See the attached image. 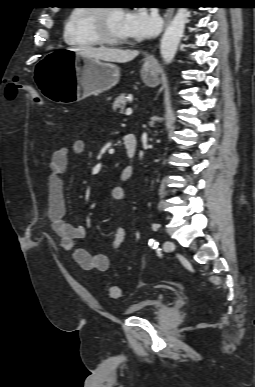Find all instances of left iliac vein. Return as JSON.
Masks as SVG:
<instances>
[{
    "mask_svg": "<svg viewBox=\"0 0 255 387\" xmlns=\"http://www.w3.org/2000/svg\"><path fill=\"white\" fill-rule=\"evenodd\" d=\"M163 249L166 252H171L175 249V244L172 241H165L163 244Z\"/></svg>",
    "mask_w": 255,
    "mask_h": 387,
    "instance_id": "obj_1",
    "label": "left iliac vein"
}]
</instances>
